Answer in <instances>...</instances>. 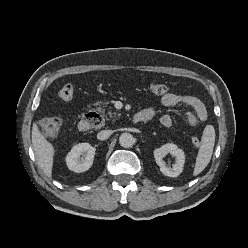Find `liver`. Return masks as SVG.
I'll use <instances>...</instances> for the list:
<instances>
[{
  "label": "liver",
  "instance_id": "1",
  "mask_svg": "<svg viewBox=\"0 0 248 248\" xmlns=\"http://www.w3.org/2000/svg\"><path fill=\"white\" fill-rule=\"evenodd\" d=\"M32 146L39 167L43 173L51 178L54 159V147L39 131L37 123L32 127Z\"/></svg>",
  "mask_w": 248,
  "mask_h": 248
}]
</instances>
